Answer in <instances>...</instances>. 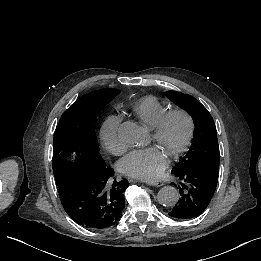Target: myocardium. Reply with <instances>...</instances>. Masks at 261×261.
I'll list each match as a JSON object with an SVG mask.
<instances>
[{
	"mask_svg": "<svg viewBox=\"0 0 261 261\" xmlns=\"http://www.w3.org/2000/svg\"><path fill=\"white\" fill-rule=\"evenodd\" d=\"M173 117L183 118L186 122L187 130L182 142L169 152L168 158L171 161L181 157L191 147L196 135V122L194 117L183 108H173L164 112L153 124L147 125L153 137L157 138L162 134L167 123Z\"/></svg>",
	"mask_w": 261,
	"mask_h": 261,
	"instance_id": "myocardium-1",
	"label": "myocardium"
}]
</instances>
